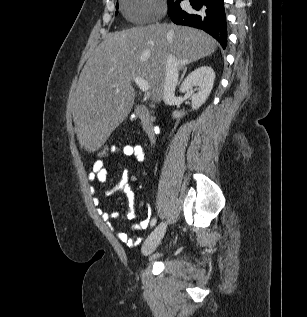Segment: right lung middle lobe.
<instances>
[{"label":"right lung middle lobe","instance_id":"right-lung-middle-lobe-1","mask_svg":"<svg viewBox=\"0 0 307 317\" xmlns=\"http://www.w3.org/2000/svg\"><path fill=\"white\" fill-rule=\"evenodd\" d=\"M172 2H173L172 0H168V5L171 4ZM116 8H118V4L116 5Z\"/></svg>","mask_w":307,"mask_h":317}]
</instances>
